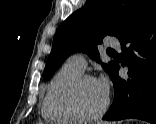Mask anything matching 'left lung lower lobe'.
<instances>
[{
  "label": "left lung lower lobe",
  "instance_id": "obj_1",
  "mask_svg": "<svg viewBox=\"0 0 156 124\" xmlns=\"http://www.w3.org/2000/svg\"><path fill=\"white\" fill-rule=\"evenodd\" d=\"M118 39L129 78L119 77L116 63L110 74L114 100L103 120L138 118L156 124V0H150L136 24Z\"/></svg>",
  "mask_w": 156,
  "mask_h": 124
}]
</instances>
